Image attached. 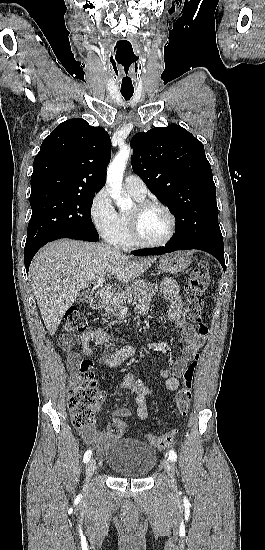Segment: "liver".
<instances>
[{
  "label": "liver",
  "instance_id": "liver-1",
  "mask_svg": "<svg viewBox=\"0 0 265 550\" xmlns=\"http://www.w3.org/2000/svg\"><path fill=\"white\" fill-rule=\"evenodd\" d=\"M153 261L131 259L105 243L60 239L44 246L34 257L29 276L49 334H55L64 313L89 284L106 276L128 284Z\"/></svg>",
  "mask_w": 265,
  "mask_h": 550
}]
</instances>
